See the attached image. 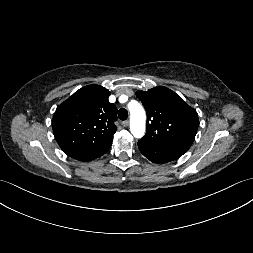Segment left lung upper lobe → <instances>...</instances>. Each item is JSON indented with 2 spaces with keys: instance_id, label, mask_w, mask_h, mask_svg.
Here are the masks:
<instances>
[{
  "instance_id": "5c2ea615",
  "label": "left lung upper lobe",
  "mask_w": 253,
  "mask_h": 253,
  "mask_svg": "<svg viewBox=\"0 0 253 253\" xmlns=\"http://www.w3.org/2000/svg\"><path fill=\"white\" fill-rule=\"evenodd\" d=\"M136 96L147 112V132L138 142L180 154L186 153L199 125L196 110L163 86L137 91Z\"/></svg>"
}]
</instances>
